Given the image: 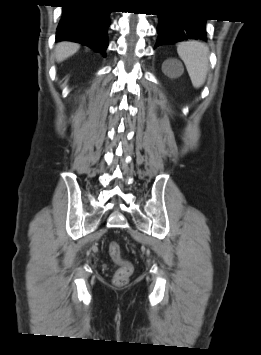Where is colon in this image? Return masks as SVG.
I'll list each match as a JSON object with an SVG mask.
<instances>
[{
    "label": "colon",
    "instance_id": "5ec220e1",
    "mask_svg": "<svg viewBox=\"0 0 261 355\" xmlns=\"http://www.w3.org/2000/svg\"><path fill=\"white\" fill-rule=\"evenodd\" d=\"M111 259L119 266L114 274V283L117 286L125 285L131 274L133 273V265L131 262L122 258L121 248L117 242H111L108 247Z\"/></svg>",
    "mask_w": 261,
    "mask_h": 355
}]
</instances>
